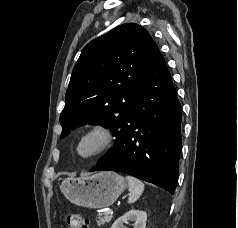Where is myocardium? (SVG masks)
I'll return each mask as SVG.
<instances>
[{
	"label": "myocardium",
	"mask_w": 238,
	"mask_h": 228,
	"mask_svg": "<svg viewBox=\"0 0 238 228\" xmlns=\"http://www.w3.org/2000/svg\"><path fill=\"white\" fill-rule=\"evenodd\" d=\"M92 141L93 146L87 153H82L81 147L84 143ZM113 143L111 129L102 123H93L86 127L78 136L74 152L80 159L89 160L106 152Z\"/></svg>",
	"instance_id": "1"
}]
</instances>
